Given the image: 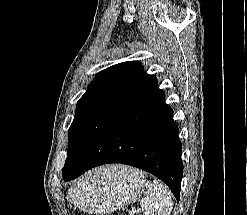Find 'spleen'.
<instances>
[{
  "instance_id": "obj_1",
  "label": "spleen",
  "mask_w": 247,
  "mask_h": 215,
  "mask_svg": "<svg viewBox=\"0 0 247 215\" xmlns=\"http://www.w3.org/2000/svg\"><path fill=\"white\" fill-rule=\"evenodd\" d=\"M145 197L140 200L143 215H170L173 201L170 190L159 180L144 183Z\"/></svg>"
}]
</instances>
